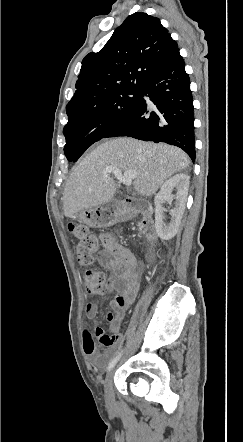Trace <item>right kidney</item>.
Segmentation results:
<instances>
[{
	"mask_svg": "<svg viewBox=\"0 0 243 442\" xmlns=\"http://www.w3.org/2000/svg\"><path fill=\"white\" fill-rule=\"evenodd\" d=\"M174 189L176 190L175 195L172 194ZM188 189L189 176L180 173L168 179L155 196V229L162 240H170L176 235L185 210ZM173 199H175V206L170 210L171 220L169 223H165L163 204L165 202L171 204Z\"/></svg>",
	"mask_w": 243,
	"mask_h": 442,
	"instance_id": "1",
	"label": "right kidney"
}]
</instances>
